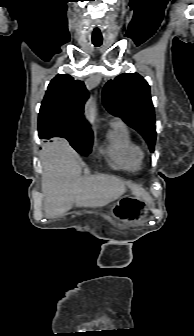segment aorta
Here are the masks:
<instances>
[{"instance_id":"aorta-1","label":"aorta","mask_w":194,"mask_h":336,"mask_svg":"<svg viewBox=\"0 0 194 336\" xmlns=\"http://www.w3.org/2000/svg\"><path fill=\"white\" fill-rule=\"evenodd\" d=\"M85 117L90 123L95 121L96 109L92 98H90L85 105Z\"/></svg>"}]
</instances>
